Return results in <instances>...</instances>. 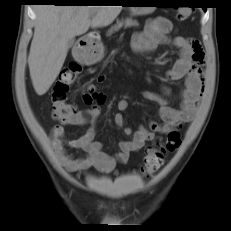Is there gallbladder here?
Here are the masks:
<instances>
[{
  "instance_id": "gallbladder-1",
  "label": "gallbladder",
  "mask_w": 231,
  "mask_h": 231,
  "mask_svg": "<svg viewBox=\"0 0 231 231\" xmlns=\"http://www.w3.org/2000/svg\"><path fill=\"white\" fill-rule=\"evenodd\" d=\"M73 44H74V39L69 40L68 47L69 48L72 47Z\"/></svg>"
}]
</instances>
